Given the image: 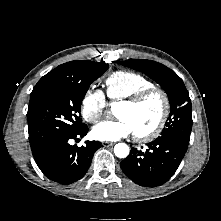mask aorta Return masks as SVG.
<instances>
[{"mask_svg":"<svg viewBox=\"0 0 221 221\" xmlns=\"http://www.w3.org/2000/svg\"><path fill=\"white\" fill-rule=\"evenodd\" d=\"M129 147L125 143H118L114 147V153L119 158H126L129 155Z\"/></svg>","mask_w":221,"mask_h":221,"instance_id":"1","label":"aorta"}]
</instances>
